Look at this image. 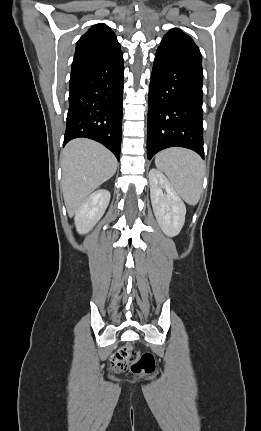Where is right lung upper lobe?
Listing matches in <instances>:
<instances>
[{
	"label": "right lung upper lobe",
	"mask_w": 261,
	"mask_h": 431,
	"mask_svg": "<svg viewBox=\"0 0 261 431\" xmlns=\"http://www.w3.org/2000/svg\"><path fill=\"white\" fill-rule=\"evenodd\" d=\"M121 51L114 32L105 24L92 26L77 42L74 56Z\"/></svg>",
	"instance_id": "1"
}]
</instances>
